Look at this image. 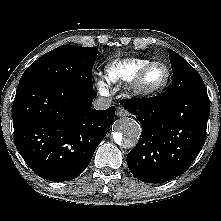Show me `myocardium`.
<instances>
[{"instance_id":"myocardium-1","label":"myocardium","mask_w":221,"mask_h":221,"mask_svg":"<svg viewBox=\"0 0 221 221\" xmlns=\"http://www.w3.org/2000/svg\"><path fill=\"white\" fill-rule=\"evenodd\" d=\"M155 66H162L165 68L166 70L165 79L156 86H148L145 83V77L148 74V72ZM170 79H171V70L169 66L160 61H153L147 64L144 68H142L141 71L136 76V78L133 80L132 91L138 97L142 98L152 97L161 93L168 86Z\"/></svg>"}]
</instances>
